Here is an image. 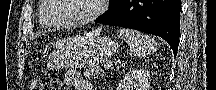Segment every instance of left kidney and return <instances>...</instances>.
Here are the masks:
<instances>
[{
    "mask_svg": "<svg viewBox=\"0 0 216 90\" xmlns=\"http://www.w3.org/2000/svg\"><path fill=\"white\" fill-rule=\"evenodd\" d=\"M117 90H150V72L147 70L128 72L119 82Z\"/></svg>",
    "mask_w": 216,
    "mask_h": 90,
    "instance_id": "left-kidney-1",
    "label": "left kidney"
}]
</instances>
